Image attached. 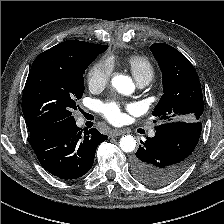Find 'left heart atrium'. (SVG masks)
Returning <instances> with one entry per match:
<instances>
[{"mask_svg":"<svg viewBox=\"0 0 224 224\" xmlns=\"http://www.w3.org/2000/svg\"><path fill=\"white\" fill-rule=\"evenodd\" d=\"M131 108V106H129ZM102 115L111 123L117 124L122 119V109L116 102H108L99 105Z\"/></svg>","mask_w":224,"mask_h":224,"instance_id":"obj_1","label":"left heart atrium"}]
</instances>
